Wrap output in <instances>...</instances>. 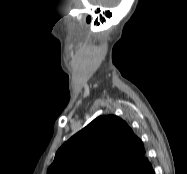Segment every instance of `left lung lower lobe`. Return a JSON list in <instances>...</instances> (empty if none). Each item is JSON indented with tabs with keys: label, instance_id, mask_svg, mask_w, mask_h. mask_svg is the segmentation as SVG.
I'll use <instances>...</instances> for the list:
<instances>
[{
	"label": "left lung lower lobe",
	"instance_id": "1",
	"mask_svg": "<svg viewBox=\"0 0 187 174\" xmlns=\"http://www.w3.org/2000/svg\"><path fill=\"white\" fill-rule=\"evenodd\" d=\"M136 171H137V170L133 171L132 174H155V173H154V170H153L152 167H151V164H150L149 167H145V168L142 170L141 173H136Z\"/></svg>",
	"mask_w": 187,
	"mask_h": 174
}]
</instances>
